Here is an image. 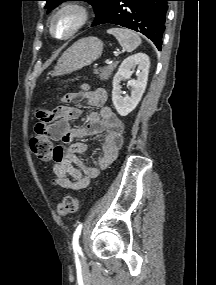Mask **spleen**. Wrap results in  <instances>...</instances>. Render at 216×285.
I'll return each instance as SVG.
<instances>
[{
  "label": "spleen",
  "mask_w": 216,
  "mask_h": 285,
  "mask_svg": "<svg viewBox=\"0 0 216 285\" xmlns=\"http://www.w3.org/2000/svg\"><path fill=\"white\" fill-rule=\"evenodd\" d=\"M107 33L113 35L127 52L134 51L141 44L139 35L130 29L111 28L107 30Z\"/></svg>",
  "instance_id": "1"
}]
</instances>
